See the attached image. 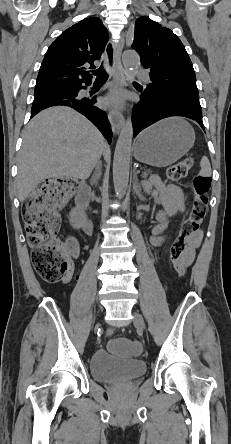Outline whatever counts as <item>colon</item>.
Segmentation results:
<instances>
[{"label": "colon", "mask_w": 231, "mask_h": 444, "mask_svg": "<svg viewBox=\"0 0 231 444\" xmlns=\"http://www.w3.org/2000/svg\"><path fill=\"white\" fill-rule=\"evenodd\" d=\"M193 167V159L187 157L167 170L171 181L185 178ZM77 183L68 178L56 177L41 182L29 196L24 210V223L31 259L38 275L48 283L60 281L71 269V255L66 247L56 238L61 218L59 210L64 201L73 193ZM208 178L197 176L194 179L193 203L188 218L182 223L178 235L169 249V260L179 276L186 273L182 257L189 241L198 232L208 207ZM113 352L128 350L136 352L137 343L115 338L110 342Z\"/></svg>", "instance_id": "obj_1"}]
</instances>
